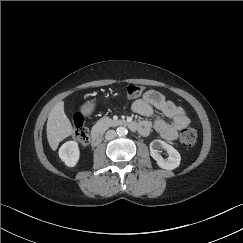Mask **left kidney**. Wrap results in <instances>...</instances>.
Listing matches in <instances>:
<instances>
[{
	"instance_id": "left-kidney-1",
	"label": "left kidney",
	"mask_w": 243,
	"mask_h": 243,
	"mask_svg": "<svg viewBox=\"0 0 243 243\" xmlns=\"http://www.w3.org/2000/svg\"><path fill=\"white\" fill-rule=\"evenodd\" d=\"M150 154L156 160L158 166L162 169L173 170L180 165L181 156L179 152L162 140H153L150 143ZM160 149H164L168 153V159H164L160 155Z\"/></svg>"
}]
</instances>
